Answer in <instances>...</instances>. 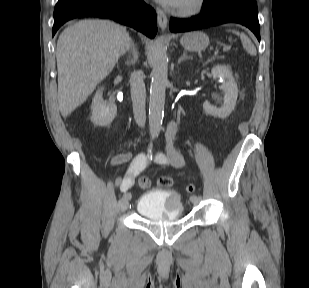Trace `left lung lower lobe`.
I'll list each match as a JSON object with an SVG mask.
<instances>
[{
	"label": "left lung lower lobe",
	"instance_id": "left-lung-lower-lobe-1",
	"mask_svg": "<svg viewBox=\"0 0 309 288\" xmlns=\"http://www.w3.org/2000/svg\"><path fill=\"white\" fill-rule=\"evenodd\" d=\"M235 22L248 27L260 41L255 0H204L203 11L192 19H170L172 32H186Z\"/></svg>",
	"mask_w": 309,
	"mask_h": 288
}]
</instances>
